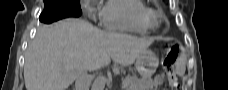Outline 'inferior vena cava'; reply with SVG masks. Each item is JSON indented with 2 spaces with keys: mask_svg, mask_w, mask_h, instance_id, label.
Listing matches in <instances>:
<instances>
[{
  "mask_svg": "<svg viewBox=\"0 0 228 90\" xmlns=\"http://www.w3.org/2000/svg\"><path fill=\"white\" fill-rule=\"evenodd\" d=\"M90 80H87L84 76H80L76 79V90H89Z\"/></svg>",
  "mask_w": 228,
  "mask_h": 90,
  "instance_id": "1",
  "label": "inferior vena cava"
}]
</instances>
